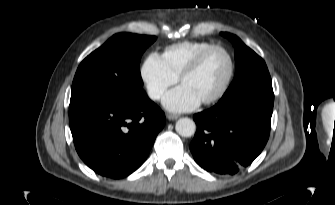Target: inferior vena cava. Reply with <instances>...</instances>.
Wrapping results in <instances>:
<instances>
[{
    "mask_svg": "<svg viewBox=\"0 0 335 205\" xmlns=\"http://www.w3.org/2000/svg\"><path fill=\"white\" fill-rule=\"evenodd\" d=\"M160 95H161V92L160 91H152L149 93V96L152 98V99H159L160 98Z\"/></svg>",
    "mask_w": 335,
    "mask_h": 205,
    "instance_id": "obj_1",
    "label": "inferior vena cava"
}]
</instances>
